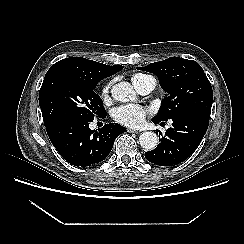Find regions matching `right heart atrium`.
I'll list each match as a JSON object with an SVG mask.
<instances>
[{"instance_id":"obj_1","label":"right heart atrium","mask_w":244,"mask_h":244,"mask_svg":"<svg viewBox=\"0 0 244 244\" xmlns=\"http://www.w3.org/2000/svg\"><path fill=\"white\" fill-rule=\"evenodd\" d=\"M110 83H107L101 90V99L106 102L109 98Z\"/></svg>"}]
</instances>
